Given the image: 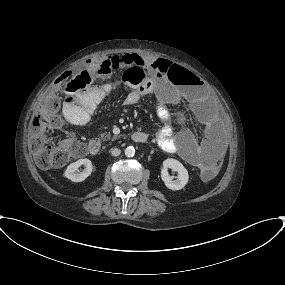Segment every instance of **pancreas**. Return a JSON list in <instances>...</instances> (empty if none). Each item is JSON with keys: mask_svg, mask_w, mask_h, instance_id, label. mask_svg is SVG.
Segmentation results:
<instances>
[{"mask_svg": "<svg viewBox=\"0 0 285 285\" xmlns=\"http://www.w3.org/2000/svg\"><path fill=\"white\" fill-rule=\"evenodd\" d=\"M110 136H111L110 134H101V138H102V139H103V138H104V139H110ZM113 138L116 139L117 137L114 136Z\"/></svg>", "mask_w": 285, "mask_h": 285, "instance_id": "pancreas-1", "label": "pancreas"}]
</instances>
